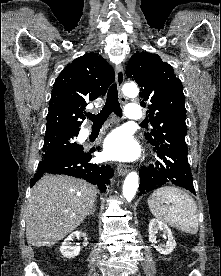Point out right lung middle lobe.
Listing matches in <instances>:
<instances>
[{"instance_id":"obj_1","label":"right lung middle lobe","mask_w":221,"mask_h":276,"mask_svg":"<svg viewBox=\"0 0 221 276\" xmlns=\"http://www.w3.org/2000/svg\"><path fill=\"white\" fill-rule=\"evenodd\" d=\"M77 135L78 133L45 134L42 159L82 150L83 146L74 142V137Z\"/></svg>"}]
</instances>
